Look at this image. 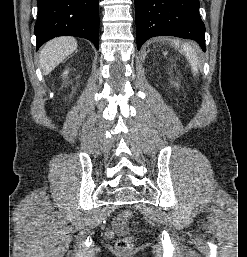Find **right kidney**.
Returning a JSON list of instances; mask_svg holds the SVG:
<instances>
[{"instance_id": "right-kidney-1", "label": "right kidney", "mask_w": 247, "mask_h": 257, "mask_svg": "<svg viewBox=\"0 0 247 257\" xmlns=\"http://www.w3.org/2000/svg\"><path fill=\"white\" fill-rule=\"evenodd\" d=\"M63 74H64V75H67V74H68V71H65Z\"/></svg>"}]
</instances>
